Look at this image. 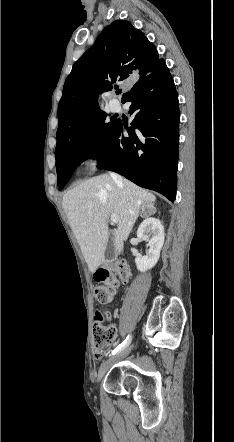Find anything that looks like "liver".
Wrapping results in <instances>:
<instances>
[{
	"mask_svg": "<svg viewBox=\"0 0 234 442\" xmlns=\"http://www.w3.org/2000/svg\"><path fill=\"white\" fill-rule=\"evenodd\" d=\"M155 200L152 193L134 183L126 179L116 183L108 174L90 178L63 196V209L91 273L96 271L104 257L109 238V217L112 214L118 217V228L113 231L112 240L119 255L139 216L141 205L152 206Z\"/></svg>",
	"mask_w": 234,
	"mask_h": 442,
	"instance_id": "1",
	"label": "liver"
}]
</instances>
